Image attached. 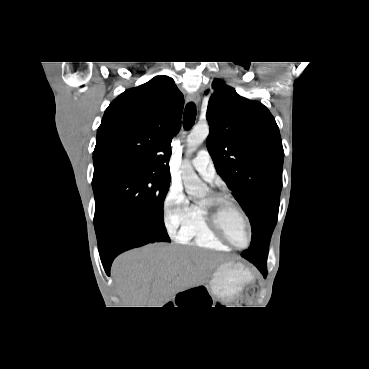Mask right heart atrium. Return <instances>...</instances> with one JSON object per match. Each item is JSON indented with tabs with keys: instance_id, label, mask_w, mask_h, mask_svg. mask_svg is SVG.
Segmentation results:
<instances>
[{
	"instance_id": "right-heart-atrium-1",
	"label": "right heart atrium",
	"mask_w": 369,
	"mask_h": 369,
	"mask_svg": "<svg viewBox=\"0 0 369 369\" xmlns=\"http://www.w3.org/2000/svg\"><path fill=\"white\" fill-rule=\"evenodd\" d=\"M192 209L183 188L178 184L171 185L163 202L164 223L170 235L179 236L191 217Z\"/></svg>"
}]
</instances>
